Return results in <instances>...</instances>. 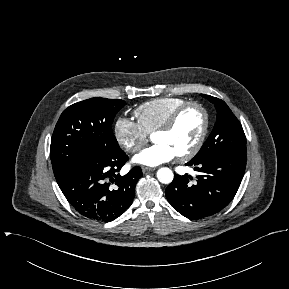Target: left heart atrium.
Here are the masks:
<instances>
[{"instance_id": "obj_1", "label": "left heart atrium", "mask_w": 289, "mask_h": 289, "mask_svg": "<svg viewBox=\"0 0 289 289\" xmlns=\"http://www.w3.org/2000/svg\"><path fill=\"white\" fill-rule=\"evenodd\" d=\"M176 156L174 150L168 145L156 143L135 155L133 161L145 166H158L171 161Z\"/></svg>"}]
</instances>
